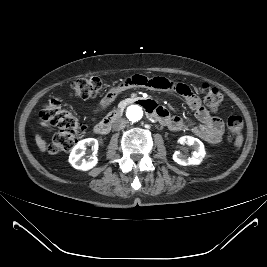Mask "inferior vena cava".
Instances as JSON below:
<instances>
[{
    "label": "inferior vena cava",
    "mask_w": 267,
    "mask_h": 267,
    "mask_svg": "<svg viewBox=\"0 0 267 267\" xmlns=\"http://www.w3.org/2000/svg\"><path fill=\"white\" fill-rule=\"evenodd\" d=\"M125 126H126V120L123 119V118H121V119H117V120H115L114 123H113V129H114L115 131H119V130L125 128Z\"/></svg>",
    "instance_id": "602c4592"
}]
</instances>
